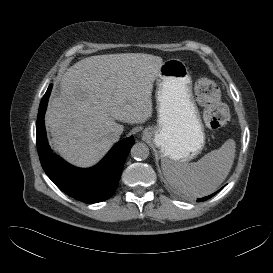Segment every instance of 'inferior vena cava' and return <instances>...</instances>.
I'll use <instances>...</instances> for the list:
<instances>
[{"mask_svg":"<svg viewBox=\"0 0 273 273\" xmlns=\"http://www.w3.org/2000/svg\"><path fill=\"white\" fill-rule=\"evenodd\" d=\"M119 133H117V132H114V133H112L111 135H110V137H111V139H112V141L113 142H116L118 139H119Z\"/></svg>","mask_w":273,"mask_h":273,"instance_id":"602c4592","label":"inferior vena cava"}]
</instances>
